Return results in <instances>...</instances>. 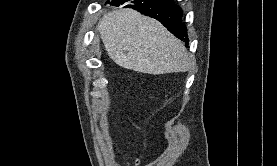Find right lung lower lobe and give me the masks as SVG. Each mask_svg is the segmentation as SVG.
Masks as SVG:
<instances>
[{"label": "right lung lower lobe", "mask_w": 277, "mask_h": 166, "mask_svg": "<svg viewBox=\"0 0 277 166\" xmlns=\"http://www.w3.org/2000/svg\"><path fill=\"white\" fill-rule=\"evenodd\" d=\"M127 1L132 4L125 7L137 9L157 19L177 38L188 43L187 29L181 19L182 11L173 3V0H119L113 5L119 6Z\"/></svg>", "instance_id": "obj_1"}]
</instances>
